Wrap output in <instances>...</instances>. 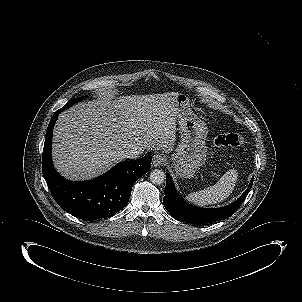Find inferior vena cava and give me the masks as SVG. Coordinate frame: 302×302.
<instances>
[{
	"instance_id": "602c4592",
	"label": "inferior vena cava",
	"mask_w": 302,
	"mask_h": 302,
	"mask_svg": "<svg viewBox=\"0 0 302 302\" xmlns=\"http://www.w3.org/2000/svg\"><path fill=\"white\" fill-rule=\"evenodd\" d=\"M143 153V150L138 148H132L121 152V157L124 159H137Z\"/></svg>"
}]
</instances>
